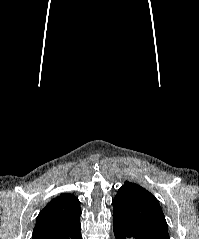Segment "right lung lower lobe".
<instances>
[{
  "label": "right lung lower lobe",
  "mask_w": 199,
  "mask_h": 239,
  "mask_svg": "<svg viewBox=\"0 0 199 239\" xmlns=\"http://www.w3.org/2000/svg\"><path fill=\"white\" fill-rule=\"evenodd\" d=\"M79 219L63 226L34 231L32 239H82Z\"/></svg>",
  "instance_id": "98d812e1"
}]
</instances>
